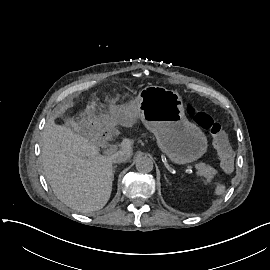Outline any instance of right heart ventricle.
<instances>
[{
    "label": "right heart ventricle",
    "mask_w": 270,
    "mask_h": 270,
    "mask_svg": "<svg viewBox=\"0 0 270 270\" xmlns=\"http://www.w3.org/2000/svg\"><path fill=\"white\" fill-rule=\"evenodd\" d=\"M134 167L136 168V169H138V167L136 166V164L134 163Z\"/></svg>",
    "instance_id": "obj_1"
}]
</instances>
